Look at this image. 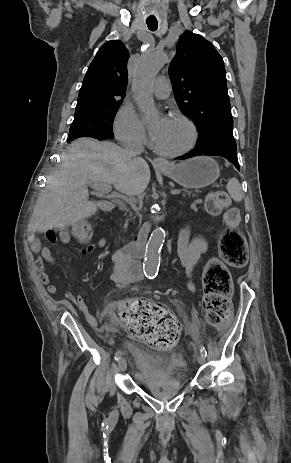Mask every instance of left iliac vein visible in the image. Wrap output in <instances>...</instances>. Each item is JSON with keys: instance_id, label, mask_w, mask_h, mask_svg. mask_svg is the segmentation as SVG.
<instances>
[{"instance_id": "left-iliac-vein-1", "label": "left iliac vein", "mask_w": 291, "mask_h": 463, "mask_svg": "<svg viewBox=\"0 0 291 463\" xmlns=\"http://www.w3.org/2000/svg\"><path fill=\"white\" fill-rule=\"evenodd\" d=\"M197 361L199 364H203L205 362V357L202 354H200L197 357Z\"/></svg>"}]
</instances>
